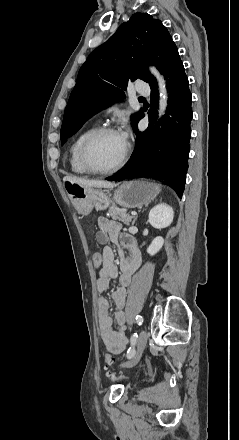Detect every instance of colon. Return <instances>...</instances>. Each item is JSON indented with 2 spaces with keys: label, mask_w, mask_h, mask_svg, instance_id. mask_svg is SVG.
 <instances>
[{
  "label": "colon",
  "mask_w": 239,
  "mask_h": 440,
  "mask_svg": "<svg viewBox=\"0 0 239 440\" xmlns=\"http://www.w3.org/2000/svg\"><path fill=\"white\" fill-rule=\"evenodd\" d=\"M92 258H93V263L96 267H99L102 264V255L99 251H94ZM113 361L114 358L112 357L111 354H106L104 356V362L107 366H110L113 363ZM107 374L109 376L111 375L109 371H107Z\"/></svg>",
  "instance_id": "5ec220e1"
}]
</instances>
